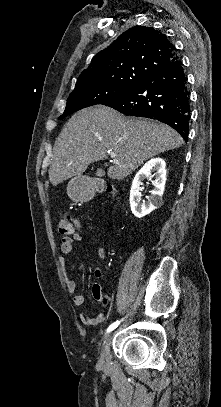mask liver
<instances>
[{"label":"liver","mask_w":221,"mask_h":407,"mask_svg":"<svg viewBox=\"0 0 221 407\" xmlns=\"http://www.w3.org/2000/svg\"><path fill=\"white\" fill-rule=\"evenodd\" d=\"M182 144V137L163 123L128 118L102 105L85 108L68 120L56 139L49 179L57 186L80 176L92 162L114 153L117 163L108 167L107 174L111 179L121 180L146 160Z\"/></svg>","instance_id":"6515ba94"}]
</instances>
